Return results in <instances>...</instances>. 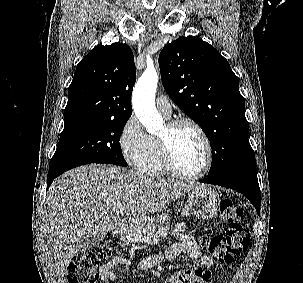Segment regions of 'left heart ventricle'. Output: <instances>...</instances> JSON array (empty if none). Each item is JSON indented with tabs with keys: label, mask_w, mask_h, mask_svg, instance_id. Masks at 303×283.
<instances>
[{
	"label": "left heart ventricle",
	"mask_w": 303,
	"mask_h": 283,
	"mask_svg": "<svg viewBox=\"0 0 303 283\" xmlns=\"http://www.w3.org/2000/svg\"><path fill=\"white\" fill-rule=\"evenodd\" d=\"M168 134L167 126L159 136ZM175 163L186 174H196L206 161V150L199 134L189 126L179 128L170 135Z\"/></svg>",
	"instance_id": "obj_1"
}]
</instances>
